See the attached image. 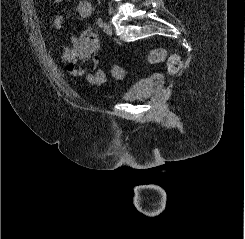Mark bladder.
Listing matches in <instances>:
<instances>
[{
    "label": "bladder",
    "mask_w": 245,
    "mask_h": 239,
    "mask_svg": "<svg viewBox=\"0 0 245 239\" xmlns=\"http://www.w3.org/2000/svg\"><path fill=\"white\" fill-rule=\"evenodd\" d=\"M155 87L154 79H144L135 81L120 94L121 100L129 101L151 93Z\"/></svg>",
    "instance_id": "1"
}]
</instances>
